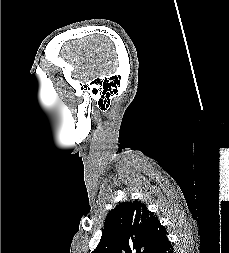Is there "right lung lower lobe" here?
Instances as JSON below:
<instances>
[{
    "label": "right lung lower lobe",
    "mask_w": 229,
    "mask_h": 253,
    "mask_svg": "<svg viewBox=\"0 0 229 253\" xmlns=\"http://www.w3.org/2000/svg\"><path fill=\"white\" fill-rule=\"evenodd\" d=\"M155 253H173V246L169 240L158 248Z\"/></svg>",
    "instance_id": "right-lung-lower-lobe-1"
}]
</instances>
